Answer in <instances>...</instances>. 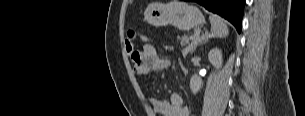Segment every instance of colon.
<instances>
[{
	"mask_svg": "<svg viewBox=\"0 0 305 116\" xmlns=\"http://www.w3.org/2000/svg\"><path fill=\"white\" fill-rule=\"evenodd\" d=\"M138 38L144 39L135 29L131 28L128 30L127 37L125 39V50L132 59H135L138 55V52L135 50V41Z\"/></svg>",
	"mask_w": 305,
	"mask_h": 116,
	"instance_id": "colon-1",
	"label": "colon"
}]
</instances>
